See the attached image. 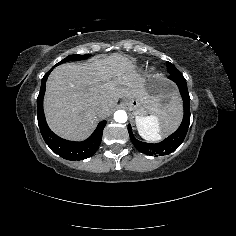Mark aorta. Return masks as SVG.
<instances>
[{
	"label": "aorta",
	"mask_w": 236,
	"mask_h": 236,
	"mask_svg": "<svg viewBox=\"0 0 236 236\" xmlns=\"http://www.w3.org/2000/svg\"><path fill=\"white\" fill-rule=\"evenodd\" d=\"M127 118V113L124 110H118L114 113V120L118 123H125Z\"/></svg>",
	"instance_id": "obj_1"
}]
</instances>
